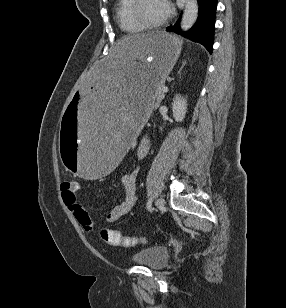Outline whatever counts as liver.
I'll list each match as a JSON object with an SVG mask.
<instances>
[{"mask_svg": "<svg viewBox=\"0 0 286 308\" xmlns=\"http://www.w3.org/2000/svg\"><path fill=\"white\" fill-rule=\"evenodd\" d=\"M143 35H147V34H143ZM135 36H142V35H135ZM131 37H134V36H131ZM126 39V38H125ZM121 49V41L118 42L116 44V46L114 47L113 49V54H115L116 52H118L119 50Z\"/></svg>", "mask_w": 286, "mask_h": 308, "instance_id": "6515ba94", "label": "liver"}]
</instances>
